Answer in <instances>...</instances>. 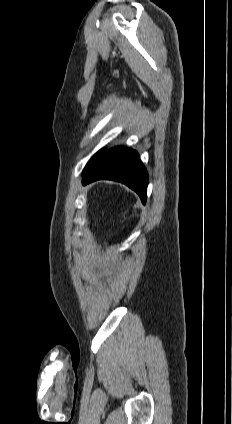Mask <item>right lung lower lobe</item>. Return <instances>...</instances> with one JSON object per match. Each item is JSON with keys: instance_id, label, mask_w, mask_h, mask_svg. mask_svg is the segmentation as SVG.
<instances>
[{"instance_id": "98d812e1", "label": "right lung lower lobe", "mask_w": 232, "mask_h": 424, "mask_svg": "<svg viewBox=\"0 0 232 424\" xmlns=\"http://www.w3.org/2000/svg\"><path fill=\"white\" fill-rule=\"evenodd\" d=\"M99 179L114 180L133 189L146 203L148 173L136 151L124 147L102 150L83 171V184Z\"/></svg>"}]
</instances>
